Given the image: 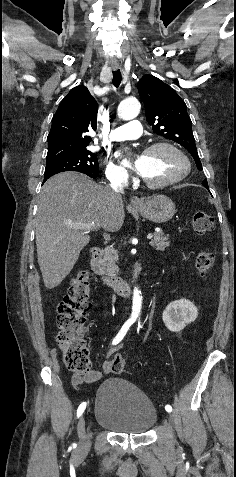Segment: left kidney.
I'll return each instance as SVG.
<instances>
[{
    "mask_svg": "<svg viewBox=\"0 0 236 477\" xmlns=\"http://www.w3.org/2000/svg\"><path fill=\"white\" fill-rule=\"evenodd\" d=\"M198 316L196 306L189 300L180 299L170 303L163 311L162 319L171 332L182 331L187 324L195 321Z\"/></svg>",
    "mask_w": 236,
    "mask_h": 477,
    "instance_id": "1",
    "label": "left kidney"
}]
</instances>
